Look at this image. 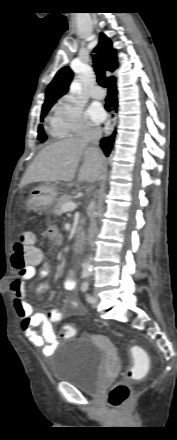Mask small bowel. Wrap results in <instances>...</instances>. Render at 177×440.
I'll return each instance as SVG.
<instances>
[{"instance_id":"1","label":"small bowel","mask_w":177,"mask_h":440,"mask_svg":"<svg viewBox=\"0 0 177 440\" xmlns=\"http://www.w3.org/2000/svg\"><path fill=\"white\" fill-rule=\"evenodd\" d=\"M46 234L53 244L61 245L63 243V236L56 226H49ZM49 274L50 268L48 265L43 264V256L41 251H39L38 260L24 270L17 272L9 284L16 313L21 319V330L33 346L42 348L45 355L51 354L57 345L53 324L59 323L63 319L64 311L70 310L73 313H83L85 311V308L77 300L65 297L62 300V307L60 309L34 312L25 293V283L35 276L45 279ZM63 286L67 292H74L76 290L77 283L72 270L69 271ZM50 289V284L43 282L37 287L36 291L42 294ZM37 327L41 328V332L36 330Z\"/></svg>"}]
</instances>
